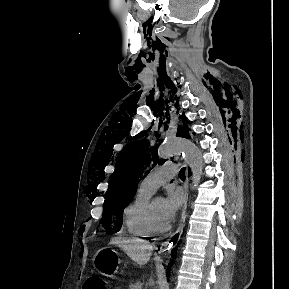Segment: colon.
Segmentation results:
<instances>
[{"label": "colon", "instance_id": "5ec220e1", "mask_svg": "<svg viewBox=\"0 0 289 289\" xmlns=\"http://www.w3.org/2000/svg\"><path fill=\"white\" fill-rule=\"evenodd\" d=\"M105 284L99 278H90L86 281L84 289H104Z\"/></svg>", "mask_w": 289, "mask_h": 289}]
</instances>
